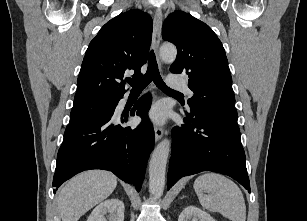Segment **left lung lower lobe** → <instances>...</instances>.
<instances>
[{
	"mask_svg": "<svg viewBox=\"0 0 307 221\" xmlns=\"http://www.w3.org/2000/svg\"><path fill=\"white\" fill-rule=\"evenodd\" d=\"M185 125L172 130L167 186L201 171L228 175L251 191L240 130L207 113H186Z\"/></svg>",
	"mask_w": 307,
	"mask_h": 221,
	"instance_id": "1",
	"label": "left lung lower lobe"
}]
</instances>
